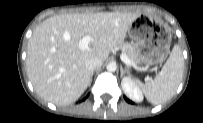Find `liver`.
Segmentation results:
<instances>
[{
    "label": "liver",
    "mask_w": 203,
    "mask_h": 123,
    "mask_svg": "<svg viewBox=\"0 0 203 123\" xmlns=\"http://www.w3.org/2000/svg\"><path fill=\"white\" fill-rule=\"evenodd\" d=\"M140 13L100 12L53 16L39 24L27 46V75L36 93L56 105L75 102L89 86L87 59L105 61ZM86 35L93 38L79 48Z\"/></svg>",
    "instance_id": "6515ba94"
}]
</instances>
